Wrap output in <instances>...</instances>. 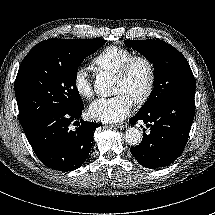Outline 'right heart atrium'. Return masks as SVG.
Returning a JSON list of instances; mask_svg holds the SVG:
<instances>
[{
	"mask_svg": "<svg viewBox=\"0 0 215 215\" xmlns=\"http://www.w3.org/2000/svg\"><path fill=\"white\" fill-rule=\"evenodd\" d=\"M73 88L84 100H91L94 95L93 80L84 68H78L73 75Z\"/></svg>",
	"mask_w": 215,
	"mask_h": 215,
	"instance_id": "1",
	"label": "right heart atrium"
}]
</instances>
